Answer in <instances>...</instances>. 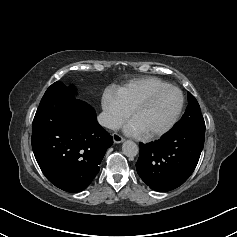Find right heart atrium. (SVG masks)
I'll return each mask as SVG.
<instances>
[{"label": "right heart atrium", "instance_id": "1", "mask_svg": "<svg viewBox=\"0 0 237 237\" xmlns=\"http://www.w3.org/2000/svg\"><path fill=\"white\" fill-rule=\"evenodd\" d=\"M102 108L104 123L111 129L120 126L129 116V111L111 91L104 94L102 98Z\"/></svg>", "mask_w": 237, "mask_h": 237}]
</instances>
